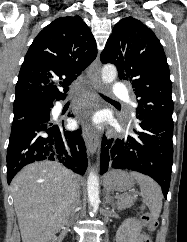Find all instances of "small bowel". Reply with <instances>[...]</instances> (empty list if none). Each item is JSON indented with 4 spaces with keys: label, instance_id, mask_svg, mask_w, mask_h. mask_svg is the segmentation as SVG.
Here are the masks:
<instances>
[{
    "label": "small bowel",
    "instance_id": "obj_1",
    "mask_svg": "<svg viewBox=\"0 0 187 242\" xmlns=\"http://www.w3.org/2000/svg\"><path fill=\"white\" fill-rule=\"evenodd\" d=\"M140 240H141V237L139 238V240L137 242H140Z\"/></svg>",
    "mask_w": 187,
    "mask_h": 242
}]
</instances>
